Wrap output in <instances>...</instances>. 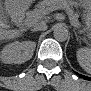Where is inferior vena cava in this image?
I'll return each instance as SVG.
<instances>
[{"label": "inferior vena cava", "instance_id": "602c4592", "mask_svg": "<svg viewBox=\"0 0 91 91\" xmlns=\"http://www.w3.org/2000/svg\"><path fill=\"white\" fill-rule=\"evenodd\" d=\"M46 29H47V26H46L45 23H40V24L36 25V26L33 28L34 31H44V30H46Z\"/></svg>", "mask_w": 91, "mask_h": 91}]
</instances>
